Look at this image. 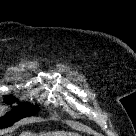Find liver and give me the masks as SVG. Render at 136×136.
Segmentation results:
<instances>
[{
  "label": "liver",
  "instance_id": "1",
  "mask_svg": "<svg viewBox=\"0 0 136 136\" xmlns=\"http://www.w3.org/2000/svg\"><path fill=\"white\" fill-rule=\"evenodd\" d=\"M20 136H35L32 133L24 132ZM40 136H78L77 134L74 133H67V132H53V133H48L46 135H40Z\"/></svg>",
  "mask_w": 136,
  "mask_h": 136
}]
</instances>
